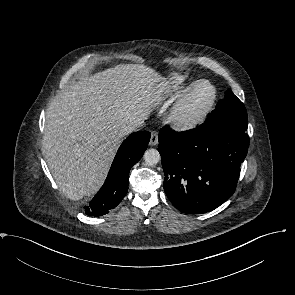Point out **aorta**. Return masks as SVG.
I'll list each match as a JSON object with an SVG mask.
<instances>
[{
  "instance_id": "aorta-1",
  "label": "aorta",
  "mask_w": 295,
  "mask_h": 295,
  "mask_svg": "<svg viewBox=\"0 0 295 295\" xmlns=\"http://www.w3.org/2000/svg\"><path fill=\"white\" fill-rule=\"evenodd\" d=\"M144 160L147 165H156L160 161V153L153 148L147 149L144 153Z\"/></svg>"
}]
</instances>
